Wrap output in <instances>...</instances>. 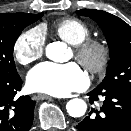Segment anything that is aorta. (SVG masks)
I'll use <instances>...</instances> for the list:
<instances>
[{"label":"aorta","mask_w":131,"mask_h":131,"mask_svg":"<svg viewBox=\"0 0 131 131\" xmlns=\"http://www.w3.org/2000/svg\"><path fill=\"white\" fill-rule=\"evenodd\" d=\"M66 47L57 42L49 44L46 48V55L53 61H61ZM66 109L71 117H81L86 113L87 104L80 98H74L67 102Z\"/></svg>","instance_id":"762f6f07"}]
</instances>
